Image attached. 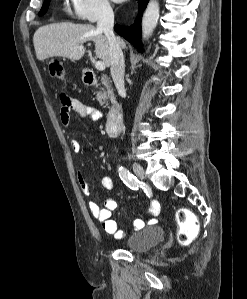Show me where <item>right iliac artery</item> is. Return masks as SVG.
<instances>
[{
	"mask_svg": "<svg viewBox=\"0 0 247 299\" xmlns=\"http://www.w3.org/2000/svg\"><path fill=\"white\" fill-rule=\"evenodd\" d=\"M119 176L121 180L132 190H138L139 188V181L137 178L131 174L126 168L120 167L119 168Z\"/></svg>",
	"mask_w": 247,
	"mask_h": 299,
	"instance_id": "obj_1",
	"label": "right iliac artery"
}]
</instances>
